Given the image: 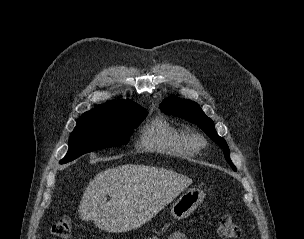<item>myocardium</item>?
<instances>
[{
  "label": "myocardium",
  "mask_w": 304,
  "mask_h": 239,
  "mask_svg": "<svg viewBox=\"0 0 304 239\" xmlns=\"http://www.w3.org/2000/svg\"><path fill=\"white\" fill-rule=\"evenodd\" d=\"M190 139L196 149H199L204 145L203 138L199 135H192L190 136Z\"/></svg>",
  "instance_id": "1"
}]
</instances>
